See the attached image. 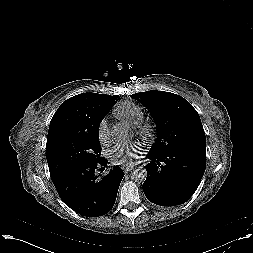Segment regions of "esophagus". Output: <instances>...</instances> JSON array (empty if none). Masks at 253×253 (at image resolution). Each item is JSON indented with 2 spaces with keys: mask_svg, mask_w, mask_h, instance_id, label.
<instances>
[{
  "mask_svg": "<svg viewBox=\"0 0 253 253\" xmlns=\"http://www.w3.org/2000/svg\"><path fill=\"white\" fill-rule=\"evenodd\" d=\"M132 169H133V166H131V165H127V166L123 167V170H124L125 173L130 172Z\"/></svg>",
  "mask_w": 253,
  "mask_h": 253,
  "instance_id": "1",
  "label": "esophagus"
}]
</instances>
